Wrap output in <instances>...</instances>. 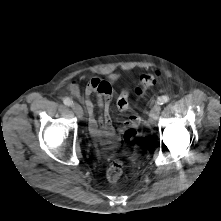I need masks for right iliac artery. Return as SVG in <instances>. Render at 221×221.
Returning a JSON list of instances; mask_svg holds the SVG:
<instances>
[{
    "label": "right iliac artery",
    "instance_id": "obj_1",
    "mask_svg": "<svg viewBox=\"0 0 221 221\" xmlns=\"http://www.w3.org/2000/svg\"><path fill=\"white\" fill-rule=\"evenodd\" d=\"M63 103L67 106H71L73 101L70 98H64Z\"/></svg>",
    "mask_w": 221,
    "mask_h": 221
}]
</instances>
